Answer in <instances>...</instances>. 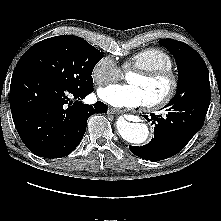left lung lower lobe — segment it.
Here are the masks:
<instances>
[{"instance_id":"0a47b994","label":"left lung lower lobe","mask_w":221,"mask_h":221,"mask_svg":"<svg viewBox=\"0 0 221 221\" xmlns=\"http://www.w3.org/2000/svg\"><path fill=\"white\" fill-rule=\"evenodd\" d=\"M211 93H204L185 102L169 103L166 117L151 114L154 138L145 146H129L130 151L146 160L158 161L181 151L197 133L206 116Z\"/></svg>"}]
</instances>
